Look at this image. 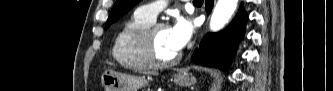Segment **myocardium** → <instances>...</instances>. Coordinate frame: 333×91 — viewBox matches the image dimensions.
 Returning a JSON list of instances; mask_svg holds the SVG:
<instances>
[{
  "instance_id": "obj_1",
  "label": "myocardium",
  "mask_w": 333,
  "mask_h": 91,
  "mask_svg": "<svg viewBox=\"0 0 333 91\" xmlns=\"http://www.w3.org/2000/svg\"><path fill=\"white\" fill-rule=\"evenodd\" d=\"M164 27H166L164 23L153 22L138 35L137 41L140 54L149 67L167 68L176 64L181 58V53L179 52L169 60H161L157 57L154 47V34L158 29Z\"/></svg>"
}]
</instances>
